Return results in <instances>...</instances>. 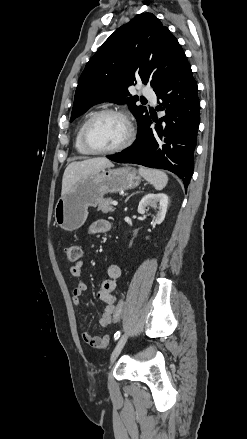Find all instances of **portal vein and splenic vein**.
<instances>
[{"label":"portal vein and splenic vein","mask_w":247,"mask_h":439,"mask_svg":"<svg viewBox=\"0 0 247 439\" xmlns=\"http://www.w3.org/2000/svg\"><path fill=\"white\" fill-rule=\"evenodd\" d=\"M112 205H113V206H117V205H118V202H117V201H113V202H112Z\"/></svg>","instance_id":"obj_1"}]
</instances>
